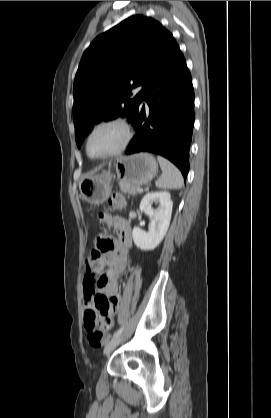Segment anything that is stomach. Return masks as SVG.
<instances>
[{
  "instance_id": "stomach-1",
  "label": "stomach",
  "mask_w": 271,
  "mask_h": 418,
  "mask_svg": "<svg viewBox=\"0 0 271 418\" xmlns=\"http://www.w3.org/2000/svg\"><path fill=\"white\" fill-rule=\"evenodd\" d=\"M117 177L135 185L149 183L157 174L158 164L149 153H139L118 159L114 163ZM113 175L102 171L83 178L79 188L84 199L94 205L103 203L111 191Z\"/></svg>"
}]
</instances>
